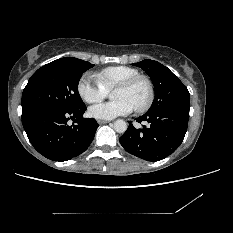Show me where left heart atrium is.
Here are the masks:
<instances>
[{"mask_svg": "<svg viewBox=\"0 0 233 233\" xmlns=\"http://www.w3.org/2000/svg\"><path fill=\"white\" fill-rule=\"evenodd\" d=\"M134 110L133 105L125 100L118 99L111 102L97 104L90 109V113L97 119H113L121 115H126Z\"/></svg>", "mask_w": 233, "mask_h": 233, "instance_id": "left-heart-atrium-1", "label": "left heart atrium"}]
</instances>
